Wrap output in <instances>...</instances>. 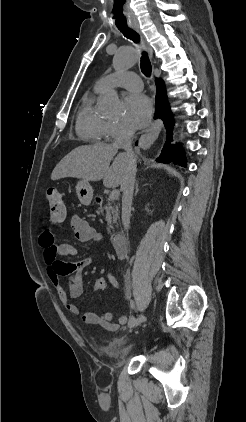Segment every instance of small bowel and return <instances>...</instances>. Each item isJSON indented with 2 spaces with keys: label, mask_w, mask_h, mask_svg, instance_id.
Listing matches in <instances>:
<instances>
[{
  "label": "small bowel",
  "mask_w": 246,
  "mask_h": 422,
  "mask_svg": "<svg viewBox=\"0 0 246 422\" xmlns=\"http://www.w3.org/2000/svg\"><path fill=\"white\" fill-rule=\"evenodd\" d=\"M71 227L74 231L75 237L80 242L99 241L102 235L96 231L87 221L75 215L71 218ZM39 245L43 249L44 261L47 265L48 277L54 286L60 301L64 304L66 310L71 315H78V307L71 303V299L80 297L84 292L83 270L93 263L92 258H84L76 262H66L60 259L62 256H75L77 249L69 243H57L53 232V226L49 222L46 227L40 232ZM69 275L71 277V284L66 289L61 277ZM119 288V283L116 276L109 272L105 278L96 279L92 288L95 291L108 292V286ZM85 324L101 326L107 330L114 331L120 325H124L128 321L126 315H121L117 323H113V316L110 312L96 314L93 312H86L82 316Z\"/></svg>",
  "instance_id": "1"
}]
</instances>
